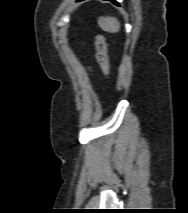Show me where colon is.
<instances>
[{"label": "colon", "instance_id": "5ec220e1", "mask_svg": "<svg viewBox=\"0 0 188 213\" xmlns=\"http://www.w3.org/2000/svg\"><path fill=\"white\" fill-rule=\"evenodd\" d=\"M96 46V58L97 61L106 75H109V57H108V46L106 39L102 35H98L95 40Z\"/></svg>", "mask_w": 188, "mask_h": 213}]
</instances>
